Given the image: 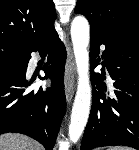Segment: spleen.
I'll use <instances>...</instances> for the list:
<instances>
[{
	"mask_svg": "<svg viewBox=\"0 0 139 150\" xmlns=\"http://www.w3.org/2000/svg\"><path fill=\"white\" fill-rule=\"evenodd\" d=\"M108 150H132V149L125 147H111Z\"/></svg>",
	"mask_w": 139,
	"mask_h": 150,
	"instance_id": "spleen-1",
	"label": "spleen"
}]
</instances>
